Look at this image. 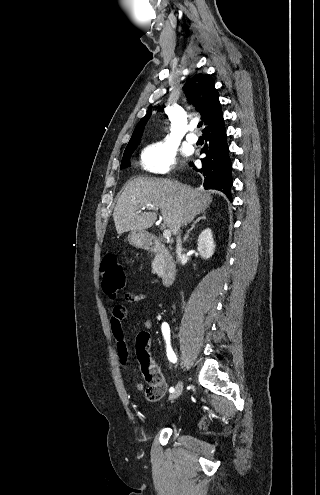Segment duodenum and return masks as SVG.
Returning a JSON list of instances; mask_svg holds the SVG:
<instances>
[{
	"label": "duodenum",
	"mask_w": 320,
	"mask_h": 495,
	"mask_svg": "<svg viewBox=\"0 0 320 495\" xmlns=\"http://www.w3.org/2000/svg\"><path fill=\"white\" fill-rule=\"evenodd\" d=\"M146 248L156 253L161 258V281L163 285L169 286L176 276V264L167 246L157 237H151L146 243Z\"/></svg>",
	"instance_id": "duodenum-1"
}]
</instances>
